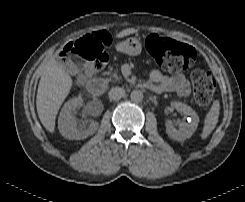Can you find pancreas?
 I'll return each instance as SVG.
<instances>
[{
    "mask_svg": "<svg viewBox=\"0 0 245 202\" xmlns=\"http://www.w3.org/2000/svg\"><path fill=\"white\" fill-rule=\"evenodd\" d=\"M105 74H107L108 76H110V78L108 79V81H111L112 79H115V80H119L120 79V77L117 74V72L112 73V68H110L109 71L105 72Z\"/></svg>",
    "mask_w": 245,
    "mask_h": 202,
    "instance_id": "1",
    "label": "pancreas"
}]
</instances>
